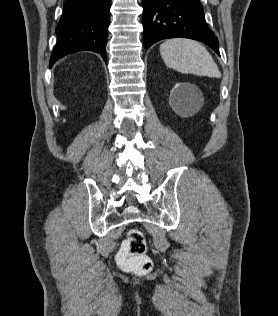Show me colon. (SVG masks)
I'll return each mask as SVG.
<instances>
[{
	"label": "colon",
	"instance_id": "colon-1",
	"mask_svg": "<svg viewBox=\"0 0 278 316\" xmlns=\"http://www.w3.org/2000/svg\"><path fill=\"white\" fill-rule=\"evenodd\" d=\"M147 241L144 233L137 228L129 230L117 254L121 268L137 273H147L152 269V261L146 255Z\"/></svg>",
	"mask_w": 278,
	"mask_h": 316
}]
</instances>
